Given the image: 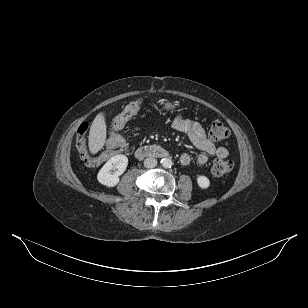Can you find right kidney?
<instances>
[{"label":"right kidney","instance_id":"obj_1","mask_svg":"<svg viewBox=\"0 0 308 308\" xmlns=\"http://www.w3.org/2000/svg\"><path fill=\"white\" fill-rule=\"evenodd\" d=\"M128 165V158L125 155H115L111 157L100 169L97 179L99 183L114 187L119 183V176L122 175ZM112 170H115L112 172Z\"/></svg>","mask_w":308,"mask_h":308}]
</instances>
